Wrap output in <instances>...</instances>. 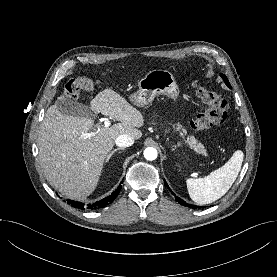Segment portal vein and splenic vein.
<instances>
[{
	"label": "portal vein and splenic vein",
	"instance_id": "1",
	"mask_svg": "<svg viewBox=\"0 0 277 277\" xmlns=\"http://www.w3.org/2000/svg\"><path fill=\"white\" fill-rule=\"evenodd\" d=\"M110 124H111L110 121L108 119H106L105 122H104L105 127H109ZM96 133L97 132H89V133L84 134V136L89 138V137L95 136Z\"/></svg>",
	"mask_w": 277,
	"mask_h": 277
}]
</instances>
